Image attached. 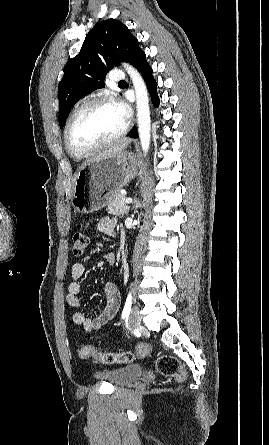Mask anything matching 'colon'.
I'll return each mask as SVG.
<instances>
[{
  "instance_id": "5ec220e1",
  "label": "colon",
  "mask_w": 269,
  "mask_h": 445,
  "mask_svg": "<svg viewBox=\"0 0 269 445\" xmlns=\"http://www.w3.org/2000/svg\"><path fill=\"white\" fill-rule=\"evenodd\" d=\"M73 246L72 250L74 255H82L88 244L89 236L83 232L79 231L73 235ZM149 349L144 344H139L137 347V353L140 356H146ZM79 357L86 359L93 357L103 364H116V363H131L135 359V354L131 351H123L120 353L105 352L95 349L90 345H85L79 350ZM157 371L166 377H174L178 379L184 378V372L182 370L181 363L177 358L171 355H161L157 357L156 362Z\"/></svg>"
}]
</instances>
